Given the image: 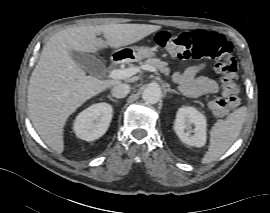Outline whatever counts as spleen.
<instances>
[{
	"label": "spleen",
	"mask_w": 270,
	"mask_h": 213,
	"mask_svg": "<svg viewBox=\"0 0 270 213\" xmlns=\"http://www.w3.org/2000/svg\"><path fill=\"white\" fill-rule=\"evenodd\" d=\"M246 107L236 109L224 120H218L210 130L209 148L201 162L208 164L222 156L240 134L246 119Z\"/></svg>",
	"instance_id": "spleen-1"
}]
</instances>
